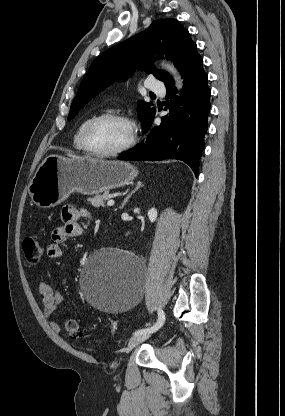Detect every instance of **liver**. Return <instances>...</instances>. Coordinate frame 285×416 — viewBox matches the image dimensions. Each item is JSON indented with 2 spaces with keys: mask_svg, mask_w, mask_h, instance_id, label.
Returning a JSON list of instances; mask_svg holds the SVG:
<instances>
[{
  "mask_svg": "<svg viewBox=\"0 0 285 416\" xmlns=\"http://www.w3.org/2000/svg\"><path fill=\"white\" fill-rule=\"evenodd\" d=\"M69 158H74V160H86V158H90V156H73V154H67Z\"/></svg>",
  "mask_w": 285,
  "mask_h": 416,
  "instance_id": "obj_1",
  "label": "liver"
}]
</instances>
